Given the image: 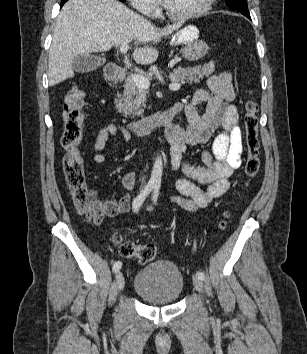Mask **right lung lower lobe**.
Instances as JSON below:
<instances>
[{
  "instance_id": "98d812e1",
  "label": "right lung lower lobe",
  "mask_w": 307,
  "mask_h": 354,
  "mask_svg": "<svg viewBox=\"0 0 307 354\" xmlns=\"http://www.w3.org/2000/svg\"><path fill=\"white\" fill-rule=\"evenodd\" d=\"M67 0H61V7L64 5V3L66 2Z\"/></svg>"
}]
</instances>
